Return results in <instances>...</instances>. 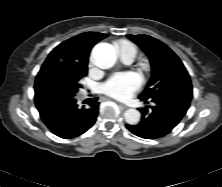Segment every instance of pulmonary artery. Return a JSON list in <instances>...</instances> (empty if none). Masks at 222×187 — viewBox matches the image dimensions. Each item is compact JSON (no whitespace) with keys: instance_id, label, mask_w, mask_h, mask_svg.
<instances>
[{"instance_id":"obj_1","label":"pulmonary artery","mask_w":222,"mask_h":187,"mask_svg":"<svg viewBox=\"0 0 222 187\" xmlns=\"http://www.w3.org/2000/svg\"><path fill=\"white\" fill-rule=\"evenodd\" d=\"M120 56L124 63L130 64L134 61L136 50L133 46H127L120 49Z\"/></svg>"}]
</instances>
